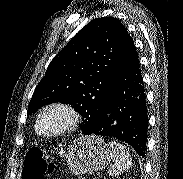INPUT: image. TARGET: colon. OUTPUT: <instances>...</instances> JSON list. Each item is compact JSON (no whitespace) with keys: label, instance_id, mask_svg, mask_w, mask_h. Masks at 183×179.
I'll list each match as a JSON object with an SVG mask.
<instances>
[{"label":"colon","instance_id":"colon-1","mask_svg":"<svg viewBox=\"0 0 183 179\" xmlns=\"http://www.w3.org/2000/svg\"><path fill=\"white\" fill-rule=\"evenodd\" d=\"M52 167L41 149L31 148L25 156L22 179H46Z\"/></svg>","mask_w":183,"mask_h":179}]
</instances>
